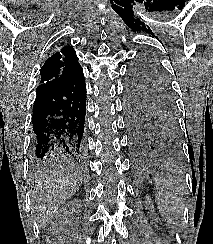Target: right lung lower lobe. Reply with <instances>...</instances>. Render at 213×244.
<instances>
[{"label": "right lung lower lobe", "mask_w": 213, "mask_h": 244, "mask_svg": "<svg viewBox=\"0 0 213 244\" xmlns=\"http://www.w3.org/2000/svg\"><path fill=\"white\" fill-rule=\"evenodd\" d=\"M85 114L82 68L54 85H39L32 116L34 155L40 159H82Z\"/></svg>", "instance_id": "1"}]
</instances>
